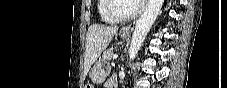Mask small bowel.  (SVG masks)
I'll list each match as a JSON object with an SVG mask.
<instances>
[{"label": "small bowel", "mask_w": 227, "mask_h": 88, "mask_svg": "<svg viewBox=\"0 0 227 88\" xmlns=\"http://www.w3.org/2000/svg\"><path fill=\"white\" fill-rule=\"evenodd\" d=\"M114 81H115V77L110 78L106 83L107 87H113Z\"/></svg>", "instance_id": "small-bowel-1"}]
</instances>
